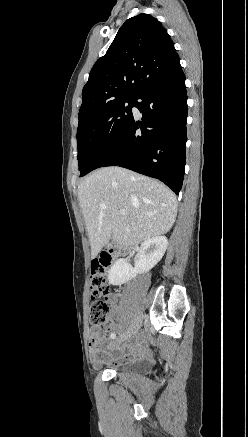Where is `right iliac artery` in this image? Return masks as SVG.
<instances>
[{
    "instance_id": "obj_1",
    "label": "right iliac artery",
    "mask_w": 248,
    "mask_h": 437,
    "mask_svg": "<svg viewBox=\"0 0 248 437\" xmlns=\"http://www.w3.org/2000/svg\"><path fill=\"white\" fill-rule=\"evenodd\" d=\"M110 337H111L112 339H115L116 334H115V333H112V334L110 335Z\"/></svg>"
}]
</instances>
